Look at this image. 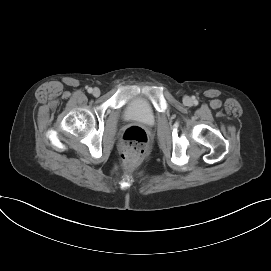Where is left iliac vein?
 Instances as JSON below:
<instances>
[{
  "instance_id": "1",
  "label": "left iliac vein",
  "mask_w": 271,
  "mask_h": 271,
  "mask_svg": "<svg viewBox=\"0 0 271 271\" xmlns=\"http://www.w3.org/2000/svg\"><path fill=\"white\" fill-rule=\"evenodd\" d=\"M184 104L189 105L191 104V99L189 97L184 98Z\"/></svg>"
}]
</instances>
